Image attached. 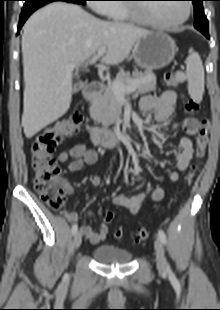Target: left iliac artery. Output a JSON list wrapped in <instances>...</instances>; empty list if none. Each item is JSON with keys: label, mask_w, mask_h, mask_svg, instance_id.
Here are the masks:
<instances>
[{"label": "left iliac artery", "mask_w": 220, "mask_h": 310, "mask_svg": "<svg viewBox=\"0 0 220 310\" xmlns=\"http://www.w3.org/2000/svg\"><path fill=\"white\" fill-rule=\"evenodd\" d=\"M158 237H159V239L161 240V242L163 243V244H166V235H165V233H164V231L162 230V229H159V231H158Z\"/></svg>", "instance_id": "obj_1"}]
</instances>
